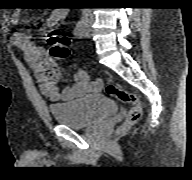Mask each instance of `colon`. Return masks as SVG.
I'll return each mask as SVG.
<instances>
[{
    "mask_svg": "<svg viewBox=\"0 0 192 180\" xmlns=\"http://www.w3.org/2000/svg\"><path fill=\"white\" fill-rule=\"evenodd\" d=\"M47 41L50 45L49 54L52 58L63 60L69 57V45L71 43L70 37L61 34L56 30H51L47 35ZM106 92L108 95L114 96L122 102L130 105L122 130L135 124L139 120L142 110L135 94L122 88L116 83L108 84Z\"/></svg>",
    "mask_w": 192,
    "mask_h": 180,
    "instance_id": "1",
    "label": "colon"
}]
</instances>
